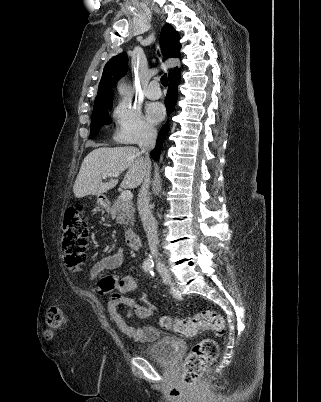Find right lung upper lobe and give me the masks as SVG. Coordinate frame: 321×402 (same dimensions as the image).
Segmentation results:
<instances>
[{"instance_id": "1", "label": "right lung upper lobe", "mask_w": 321, "mask_h": 402, "mask_svg": "<svg viewBox=\"0 0 321 402\" xmlns=\"http://www.w3.org/2000/svg\"><path fill=\"white\" fill-rule=\"evenodd\" d=\"M180 36L174 28L166 24L161 31L160 46L165 57H180ZM128 58L125 52L112 57L105 65L95 98L94 108L108 105L113 102L115 83L125 75ZM179 72L177 68L170 71L169 77Z\"/></svg>"}]
</instances>
